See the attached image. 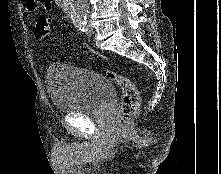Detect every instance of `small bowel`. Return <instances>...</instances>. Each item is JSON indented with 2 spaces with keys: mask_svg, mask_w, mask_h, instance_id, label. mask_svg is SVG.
<instances>
[{
  "mask_svg": "<svg viewBox=\"0 0 221 174\" xmlns=\"http://www.w3.org/2000/svg\"><path fill=\"white\" fill-rule=\"evenodd\" d=\"M39 4L45 11L52 10L51 0H25V7L28 12H35L38 9Z\"/></svg>",
  "mask_w": 221,
  "mask_h": 174,
  "instance_id": "1",
  "label": "small bowel"
}]
</instances>
